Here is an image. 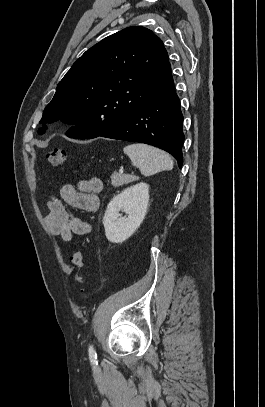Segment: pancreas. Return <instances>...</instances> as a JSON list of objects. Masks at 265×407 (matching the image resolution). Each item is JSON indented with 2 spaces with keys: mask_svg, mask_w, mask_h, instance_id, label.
<instances>
[{
  "mask_svg": "<svg viewBox=\"0 0 265 407\" xmlns=\"http://www.w3.org/2000/svg\"><path fill=\"white\" fill-rule=\"evenodd\" d=\"M139 177L128 175V174H121L114 172L111 176V182L114 187H120L124 184H129L134 181H138Z\"/></svg>",
  "mask_w": 265,
  "mask_h": 407,
  "instance_id": "pancreas-1",
  "label": "pancreas"
}]
</instances>
